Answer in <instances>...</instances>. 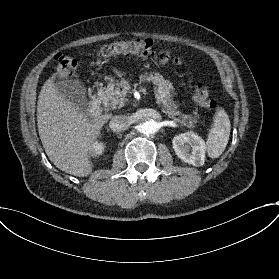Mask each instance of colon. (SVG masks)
Here are the masks:
<instances>
[{
	"label": "colon",
	"mask_w": 279,
	"mask_h": 279,
	"mask_svg": "<svg viewBox=\"0 0 279 279\" xmlns=\"http://www.w3.org/2000/svg\"><path fill=\"white\" fill-rule=\"evenodd\" d=\"M136 55L143 57H158L163 62H170L176 65L183 63L181 57L173 55L170 50H156L154 43L146 39L116 41L104 44L98 52V58L106 59L113 56ZM57 68L64 75L71 74L76 67V62L72 58L64 54L56 57ZM195 100L198 105L206 110L215 108V102L207 86L198 83L195 87Z\"/></svg>",
	"instance_id": "5ec220e1"
}]
</instances>
